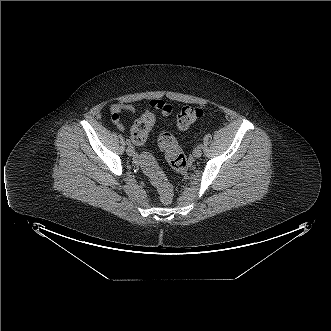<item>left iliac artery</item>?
I'll list each match as a JSON object with an SVG mask.
<instances>
[{"label":"left iliac artery","mask_w":331,"mask_h":331,"mask_svg":"<svg viewBox=\"0 0 331 331\" xmlns=\"http://www.w3.org/2000/svg\"><path fill=\"white\" fill-rule=\"evenodd\" d=\"M198 148H202V144H198V146H197Z\"/></svg>","instance_id":"1"}]
</instances>
